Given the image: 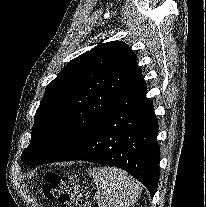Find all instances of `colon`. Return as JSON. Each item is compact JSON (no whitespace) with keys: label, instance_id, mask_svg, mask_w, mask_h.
<instances>
[{"label":"colon","instance_id":"1","mask_svg":"<svg viewBox=\"0 0 206 207\" xmlns=\"http://www.w3.org/2000/svg\"><path fill=\"white\" fill-rule=\"evenodd\" d=\"M43 192L48 199H57L61 207H83L84 192L73 177L48 172Z\"/></svg>","mask_w":206,"mask_h":207}]
</instances>
